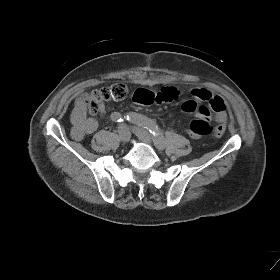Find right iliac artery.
I'll return each instance as SVG.
<instances>
[{
	"label": "right iliac artery",
	"instance_id": "right-iliac-artery-1",
	"mask_svg": "<svg viewBox=\"0 0 280 280\" xmlns=\"http://www.w3.org/2000/svg\"><path fill=\"white\" fill-rule=\"evenodd\" d=\"M126 118V117H124ZM111 119L115 122H122L123 121V117L120 113L118 112H114L111 114Z\"/></svg>",
	"mask_w": 280,
	"mask_h": 280
}]
</instances>
